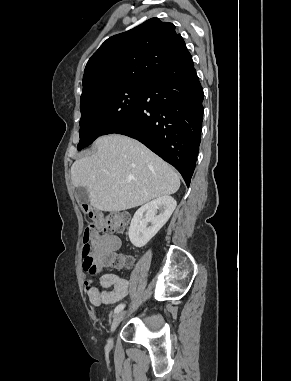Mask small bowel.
Instances as JSON below:
<instances>
[{"instance_id": "c3829d8e", "label": "small bowel", "mask_w": 291, "mask_h": 381, "mask_svg": "<svg viewBox=\"0 0 291 381\" xmlns=\"http://www.w3.org/2000/svg\"><path fill=\"white\" fill-rule=\"evenodd\" d=\"M93 240L99 248V253L103 251L115 252L121 244V240L117 235H101L96 233ZM84 285L89 301L95 306L119 302L128 292L127 279L115 273L101 275L99 277V286L92 279H86Z\"/></svg>"}]
</instances>
